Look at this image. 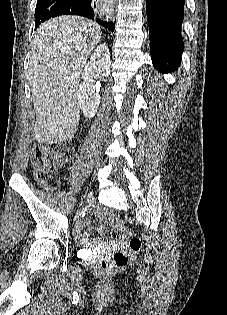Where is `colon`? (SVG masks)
<instances>
[{"label":"colon","instance_id":"obj_1","mask_svg":"<svg viewBox=\"0 0 227 315\" xmlns=\"http://www.w3.org/2000/svg\"><path fill=\"white\" fill-rule=\"evenodd\" d=\"M79 146L80 141L76 137L53 144H35L32 152V164L37 182L45 185L51 174L73 158ZM111 222L115 231L124 233L128 238V249L116 252L111 258L103 259L97 265V271L103 274L127 265L141 248V240L126 228L121 218L114 216Z\"/></svg>","mask_w":227,"mask_h":315}]
</instances>
